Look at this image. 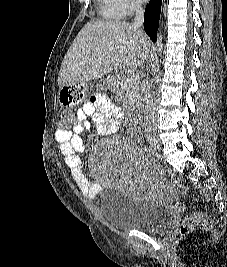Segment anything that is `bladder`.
<instances>
[{
	"label": "bladder",
	"mask_w": 227,
	"mask_h": 267,
	"mask_svg": "<svg viewBox=\"0 0 227 267\" xmlns=\"http://www.w3.org/2000/svg\"><path fill=\"white\" fill-rule=\"evenodd\" d=\"M100 209L104 220L118 230L157 232L175 217L174 210L156 200H136L116 188L102 190Z\"/></svg>",
	"instance_id": "1"
}]
</instances>
